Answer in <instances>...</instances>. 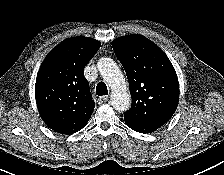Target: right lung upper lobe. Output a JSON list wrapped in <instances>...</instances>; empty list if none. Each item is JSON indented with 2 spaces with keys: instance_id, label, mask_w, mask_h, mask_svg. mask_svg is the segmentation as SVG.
I'll use <instances>...</instances> for the list:
<instances>
[{
  "instance_id": "right-lung-upper-lobe-1",
  "label": "right lung upper lobe",
  "mask_w": 224,
  "mask_h": 175,
  "mask_svg": "<svg viewBox=\"0 0 224 175\" xmlns=\"http://www.w3.org/2000/svg\"><path fill=\"white\" fill-rule=\"evenodd\" d=\"M101 43L87 37H73L58 44L43 61L35 84L39 114L52 130L72 134L89 121L95 103L84 67Z\"/></svg>"
}]
</instances>
